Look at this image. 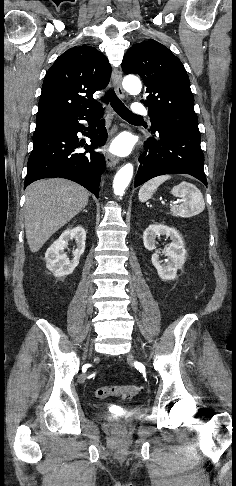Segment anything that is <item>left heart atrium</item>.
<instances>
[{
  "instance_id": "39dd6f15",
  "label": "left heart atrium",
  "mask_w": 236,
  "mask_h": 486,
  "mask_svg": "<svg viewBox=\"0 0 236 486\" xmlns=\"http://www.w3.org/2000/svg\"><path fill=\"white\" fill-rule=\"evenodd\" d=\"M132 148L131 141L126 136H119L117 137L109 146V151L119 155L124 156L127 155Z\"/></svg>"
}]
</instances>
